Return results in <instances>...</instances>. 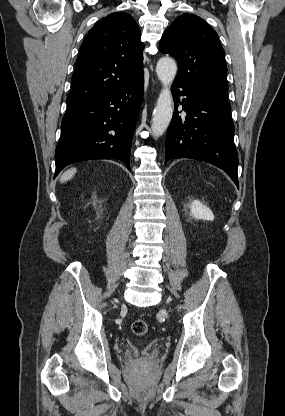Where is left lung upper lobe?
<instances>
[{"label":"left lung upper lobe","instance_id":"obj_1","mask_svg":"<svg viewBox=\"0 0 285 416\" xmlns=\"http://www.w3.org/2000/svg\"><path fill=\"white\" fill-rule=\"evenodd\" d=\"M159 48L178 62L174 82L206 98L228 102L224 50L217 33L202 18L179 16L164 32Z\"/></svg>","mask_w":285,"mask_h":416}]
</instances>
